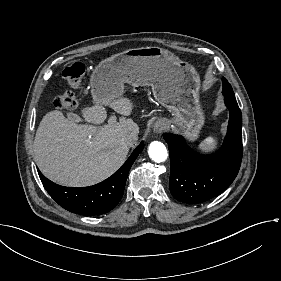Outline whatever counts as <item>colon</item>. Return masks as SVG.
I'll list each match as a JSON object with an SVG mask.
<instances>
[{"instance_id":"obj_1","label":"colon","mask_w":281,"mask_h":281,"mask_svg":"<svg viewBox=\"0 0 281 281\" xmlns=\"http://www.w3.org/2000/svg\"><path fill=\"white\" fill-rule=\"evenodd\" d=\"M85 73V63L77 61L64 69L63 79L69 85H77L80 80L85 76ZM55 104L59 110L72 111L77 106V99L74 93L70 91H65L56 98Z\"/></svg>"}]
</instances>
